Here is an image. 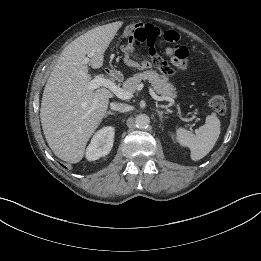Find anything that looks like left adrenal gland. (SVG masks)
<instances>
[{
    "instance_id": "a2214340",
    "label": "left adrenal gland",
    "mask_w": 261,
    "mask_h": 261,
    "mask_svg": "<svg viewBox=\"0 0 261 261\" xmlns=\"http://www.w3.org/2000/svg\"><path fill=\"white\" fill-rule=\"evenodd\" d=\"M156 112L158 113L159 115V119L162 121L163 120V114H168L167 111H161L159 109H156Z\"/></svg>"
}]
</instances>
